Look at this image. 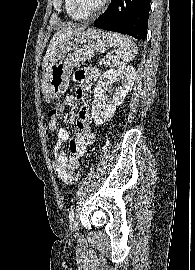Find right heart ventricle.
I'll return each instance as SVG.
<instances>
[{
    "label": "right heart ventricle",
    "instance_id": "right-heart-ventricle-1",
    "mask_svg": "<svg viewBox=\"0 0 195 270\" xmlns=\"http://www.w3.org/2000/svg\"><path fill=\"white\" fill-rule=\"evenodd\" d=\"M64 4H65V10L66 13L68 14V16L70 18H72L73 20L76 21H81V20H85L86 17H83L82 15L78 14L71 6V1L70 0H64Z\"/></svg>",
    "mask_w": 195,
    "mask_h": 270
}]
</instances>
